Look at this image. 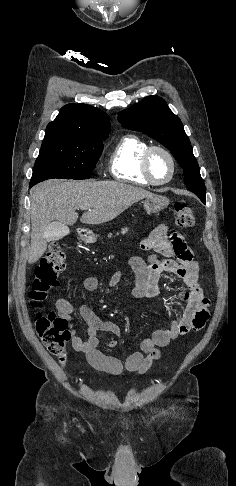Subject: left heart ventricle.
<instances>
[{
	"label": "left heart ventricle",
	"mask_w": 236,
	"mask_h": 486,
	"mask_svg": "<svg viewBox=\"0 0 236 486\" xmlns=\"http://www.w3.org/2000/svg\"><path fill=\"white\" fill-rule=\"evenodd\" d=\"M150 172L152 176L159 181L168 178L171 166L168 158L161 152H154L150 158Z\"/></svg>",
	"instance_id": "obj_1"
}]
</instances>
